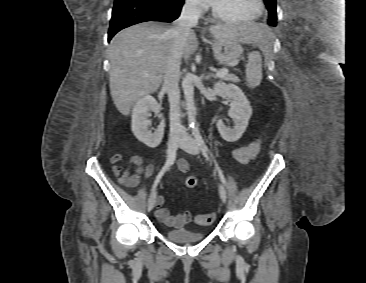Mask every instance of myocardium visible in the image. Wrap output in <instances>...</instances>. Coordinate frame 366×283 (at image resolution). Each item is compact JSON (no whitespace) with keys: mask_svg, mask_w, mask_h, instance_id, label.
Returning <instances> with one entry per match:
<instances>
[{"mask_svg":"<svg viewBox=\"0 0 366 283\" xmlns=\"http://www.w3.org/2000/svg\"><path fill=\"white\" fill-rule=\"evenodd\" d=\"M258 3V10L257 13L251 17L248 18H235L230 17L227 15H224L223 13L219 12L218 9L215 7L214 3L211 4V11L213 16L222 22L226 23H234V24H243V23H249L253 22L255 20H258L265 12V2L264 0H257Z\"/></svg>","mask_w":366,"mask_h":283,"instance_id":"1","label":"myocardium"}]
</instances>
